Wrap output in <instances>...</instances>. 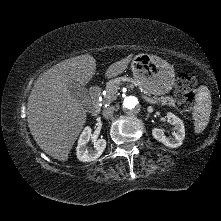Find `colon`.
Masks as SVG:
<instances>
[{"instance_id":"colon-1","label":"colon","mask_w":221,"mask_h":221,"mask_svg":"<svg viewBox=\"0 0 221 221\" xmlns=\"http://www.w3.org/2000/svg\"><path fill=\"white\" fill-rule=\"evenodd\" d=\"M197 84L196 78L187 73H181L175 83V98L177 107L184 112L193 107V90Z\"/></svg>"}]
</instances>
